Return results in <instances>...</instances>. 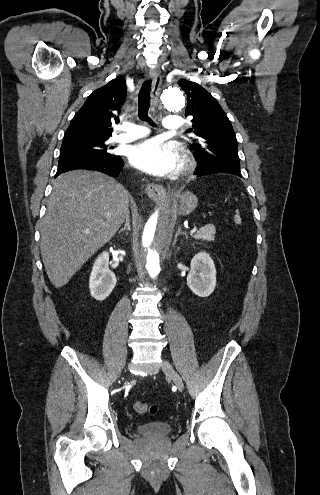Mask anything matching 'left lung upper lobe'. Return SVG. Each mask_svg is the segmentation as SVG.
<instances>
[{"label":"left lung upper lobe","instance_id":"1","mask_svg":"<svg viewBox=\"0 0 320 495\" xmlns=\"http://www.w3.org/2000/svg\"><path fill=\"white\" fill-rule=\"evenodd\" d=\"M179 86L187 95L186 116H192V132L197 138L190 146L195 158L208 166H225L240 170L237 139L226 113L217 100L202 86L181 79Z\"/></svg>","mask_w":320,"mask_h":495}]
</instances>
